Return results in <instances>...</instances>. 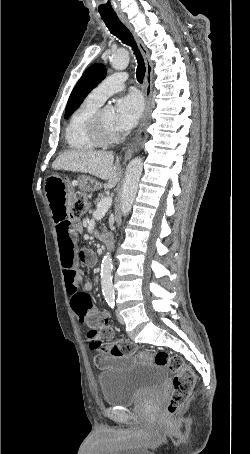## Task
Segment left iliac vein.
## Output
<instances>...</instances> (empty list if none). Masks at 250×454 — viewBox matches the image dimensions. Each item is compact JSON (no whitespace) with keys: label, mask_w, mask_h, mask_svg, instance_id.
Listing matches in <instances>:
<instances>
[{"label":"left iliac vein","mask_w":250,"mask_h":454,"mask_svg":"<svg viewBox=\"0 0 250 454\" xmlns=\"http://www.w3.org/2000/svg\"><path fill=\"white\" fill-rule=\"evenodd\" d=\"M116 316H117V320L120 324H124V319L122 317V315L119 313V311L117 310L116 311Z\"/></svg>","instance_id":"1"}]
</instances>
